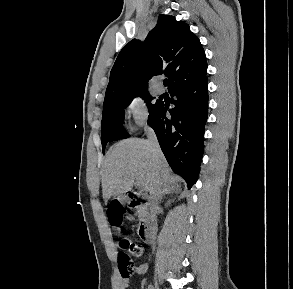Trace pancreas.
Instances as JSON below:
<instances>
[{"label":"pancreas","mask_w":293,"mask_h":289,"mask_svg":"<svg viewBox=\"0 0 293 289\" xmlns=\"http://www.w3.org/2000/svg\"><path fill=\"white\" fill-rule=\"evenodd\" d=\"M137 212L139 214V218L141 219L144 216V209L140 207Z\"/></svg>","instance_id":"cf45deb5"}]
</instances>
